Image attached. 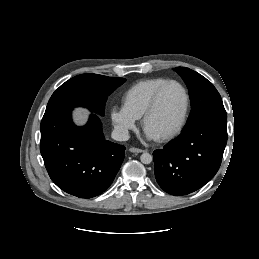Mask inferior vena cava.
Masks as SVG:
<instances>
[{
	"instance_id": "obj_1",
	"label": "inferior vena cava",
	"mask_w": 259,
	"mask_h": 259,
	"mask_svg": "<svg viewBox=\"0 0 259 259\" xmlns=\"http://www.w3.org/2000/svg\"><path fill=\"white\" fill-rule=\"evenodd\" d=\"M111 137L116 141H127L129 140V132L127 129L117 126L112 131Z\"/></svg>"
}]
</instances>
